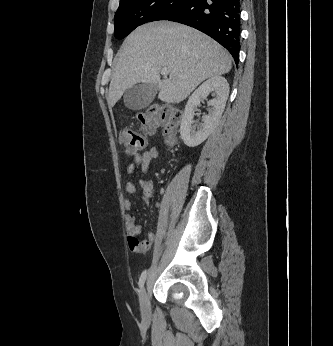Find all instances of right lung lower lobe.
Segmentation results:
<instances>
[{
  "mask_svg": "<svg viewBox=\"0 0 333 346\" xmlns=\"http://www.w3.org/2000/svg\"><path fill=\"white\" fill-rule=\"evenodd\" d=\"M240 0H184L166 19L196 28L209 35L233 56L240 51Z\"/></svg>",
  "mask_w": 333,
  "mask_h": 346,
  "instance_id": "obj_1",
  "label": "right lung lower lobe"
}]
</instances>
